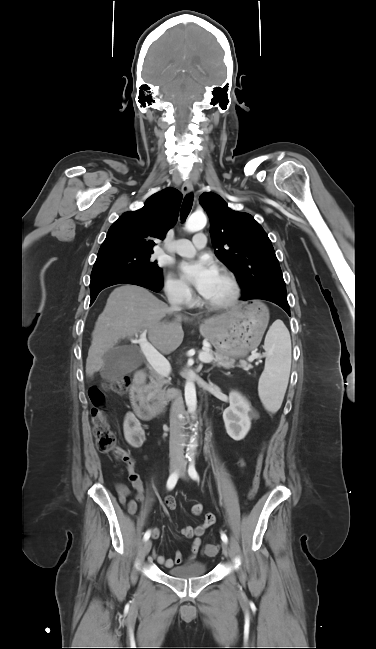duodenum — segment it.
<instances>
[{
  "label": "duodenum",
  "instance_id": "duodenum-1",
  "mask_svg": "<svg viewBox=\"0 0 376 649\" xmlns=\"http://www.w3.org/2000/svg\"><path fill=\"white\" fill-rule=\"evenodd\" d=\"M147 374L144 370H138L133 377L132 385L129 391L131 405L135 414L142 419H150L161 413L164 405L171 400L181 397V392L175 390L173 393H165L161 398L149 404L144 399L143 387L146 382Z\"/></svg>",
  "mask_w": 376,
  "mask_h": 649
}]
</instances>
